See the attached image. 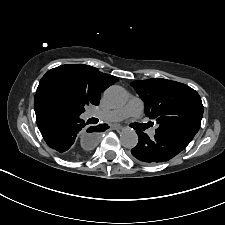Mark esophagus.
Here are the masks:
<instances>
[{
  "label": "esophagus",
  "mask_w": 225,
  "mask_h": 225,
  "mask_svg": "<svg viewBox=\"0 0 225 225\" xmlns=\"http://www.w3.org/2000/svg\"><path fill=\"white\" fill-rule=\"evenodd\" d=\"M113 128L115 130H122L123 129V127L121 125H113Z\"/></svg>",
  "instance_id": "1"
}]
</instances>
